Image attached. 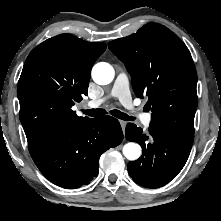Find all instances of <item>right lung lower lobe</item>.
<instances>
[{
	"label": "right lung lower lobe",
	"mask_w": 221,
	"mask_h": 221,
	"mask_svg": "<svg viewBox=\"0 0 221 221\" xmlns=\"http://www.w3.org/2000/svg\"><path fill=\"white\" fill-rule=\"evenodd\" d=\"M122 140L117 119L111 116L90 118L59 132L31 156L49 181L75 189L89 184L97 176L101 154Z\"/></svg>",
	"instance_id": "98d812e1"
}]
</instances>
